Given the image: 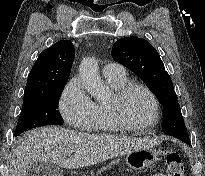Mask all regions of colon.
Segmentation results:
<instances>
[{"label":"colon","instance_id":"obj_1","mask_svg":"<svg viewBox=\"0 0 205 176\" xmlns=\"http://www.w3.org/2000/svg\"><path fill=\"white\" fill-rule=\"evenodd\" d=\"M168 176H185V168L178 153H170L166 157ZM163 176V175H158Z\"/></svg>","mask_w":205,"mask_h":176}]
</instances>
